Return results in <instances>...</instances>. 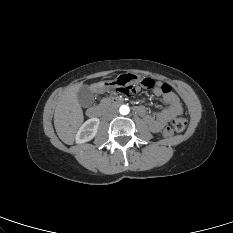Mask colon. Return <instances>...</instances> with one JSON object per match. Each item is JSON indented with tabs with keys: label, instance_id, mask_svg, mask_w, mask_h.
<instances>
[{
	"label": "colon",
	"instance_id": "obj_1",
	"mask_svg": "<svg viewBox=\"0 0 233 233\" xmlns=\"http://www.w3.org/2000/svg\"><path fill=\"white\" fill-rule=\"evenodd\" d=\"M156 81L151 78H146L142 81V86L148 89L154 88L156 86ZM162 90L164 92L169 91L170 87L167 84L162 85ZM136 88L127 85L125 88L120 89L117 93L120 95L131 96L136 93ZM187 118L184 116L176 117L172 120L171 124L167 126L164 130L165 136H172L177 132H182L187 126Z\"/></svg>",
	"mask_w": 233,
	"mask_h": 233
}]
</instances>
